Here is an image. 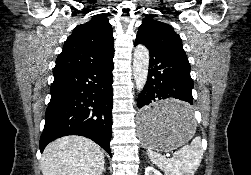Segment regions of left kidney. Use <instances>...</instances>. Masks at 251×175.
<instances>
[{
    "label": "left kidney",
    "mask_w": 251,
    "mask_h": 175,
    "mask_svg": "<svg viewBox=\"0 0 251 175\" xmlns=\"http://www.w3.org/2000/svg\"><path fill=\"white\" fill-rule=\"evenodd\" d=\"M145 175H162V173L158 169H155V167L148 165V167H145Z\"/></svg>",
    "instance_id": "1"
}]
</instances>
